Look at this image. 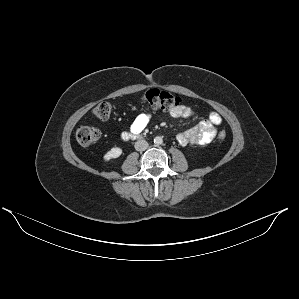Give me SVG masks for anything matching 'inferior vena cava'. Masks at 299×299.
Here are the masks:
<instances>
[{
	"instance_id": "602c4592",
	"label": "inferior vena cava",
	"mask_w": 299,
	"mask_h": 299,
	"mask_svg": "<svg viewBox=\"0 0 299 299\" xmlns=\"http://www.w3.org/2000/svg\"><path fill=\"white\" fill-rule=\"evenodd\" d=\"M134 146L137 151L141 152L145 151L148 148L149 144L146 140H138L137 142H135Z\"/></svg>"
}]
</instances>
